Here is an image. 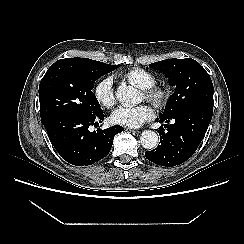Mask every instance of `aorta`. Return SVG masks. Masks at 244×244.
Returning <instances> with one entry per match:
<instances>
[{
    "instance_id": "762f6f07",
    "label": "aorta",
    "mask_w": 244,
    "mask_h": 244,
    "mask_svg": "<svg viewBox=\"0 0 244 244\" xmlns=\"http://www.w3.org/2000/svg\"><path fill=\"white\" fill-rule=\"evenodd\" d=\"M116 98L123 105L137 104L140 100L139 92L132 86L121 84L115 91ZM159 137L156 132L146 130L142 132L140 137V143L145 149H154L157 147Z\"/></svg>"
}]
</instances>
